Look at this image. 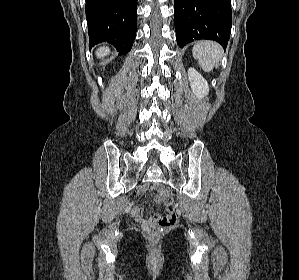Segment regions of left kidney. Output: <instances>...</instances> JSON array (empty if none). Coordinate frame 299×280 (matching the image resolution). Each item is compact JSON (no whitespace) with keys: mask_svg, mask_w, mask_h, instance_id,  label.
Returning a JSON list of instances; mask_svg holds the SVG:
<instances>
[{"mask_svg":"<svg viewBox=\"0 0 299 280\" xmlns=\"http://www.w3.org/2000/svg\"><path fill=\"white\" fill-rule=\"evenodd\" d=\"M189 80L191 82V88L193 93L198 97L202 98L209 93V86L207 81L202 77L200 73L194 68L188 69Z\"/></svg>","mask_w":299,"mask_h":280,"instance_id":"obj_1","label":"left kidney"}]
</instances>
